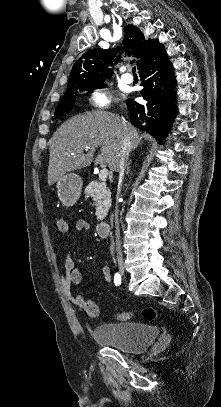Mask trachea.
Here are the masks:
<instances>
[{"mask_svg":"<svg viewBox=\"0 0 221 407\" xmlns=\"http://www.w3.org/2000/svg\"><path fill=\"white\" fill-rule=\"evenodd\" d=\"M132 72H133L134 75H136V73H135V72H136V68H135V67L132 68Z\"/></svg>","mask_w":221,"mask_h":407,"instance_id":"3493384b","label":"trachea"}]
</instances>
